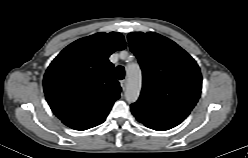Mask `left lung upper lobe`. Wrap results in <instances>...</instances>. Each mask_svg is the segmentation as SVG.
<instances>
[{
	"mask_svg": "<svg viewBox=\"0 0 248 158\" xmlns=\"http://www.w3.org/2000/svg\"><path fill=\"white\" fill-rule=\"evenodd\" d=\"M142 69L143 86L132 114L146 127L164 131L180 124L196 105L202 88L196 61L172 40L153 32L128 34Z\"/></svg>",
	"mask_w": 248,
	"mask_h": 158,
	"instance_id": "left-lung-upper-lobe-1",
	"label": "left lung upper lobe"
}]
</instances>
